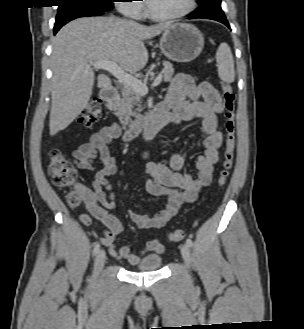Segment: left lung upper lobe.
Wrapping results in <instances>:
<instances>
[{"label":"left lung upper lobe","mask_w":304,"mask_h":329,"mask_svg":"<svg viewBox=\"0 0 304 329\" xmlns=\"http://www.w3.org/2000/svg\"><path fill=\"white\" fill-rule=\"evenodd\" d=\"M201 0H197V2L199 3Z\"/></svg>","instance_id":"1"}]
</instances>
